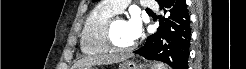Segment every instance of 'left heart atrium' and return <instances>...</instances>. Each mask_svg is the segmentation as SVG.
<instances>
[{
    "mask_svg": "<svg viewBox=\"0 0 246 69\" xmlns=\"http://www.w3.org/2000/svg\"><path fill=\"white\" fill-rule=\"evenodd\" d=\"M128 30H129V34L131 36V38L136 41L141 33V26H140V22L138 20V17L133 14L129 20L126 21Z\"/></svg>",
    "mask_w": 246,
    "mask_h": 69,
    "instance_id": "obj_1",
    "label": "left heart atrium"
}]
</instances>
